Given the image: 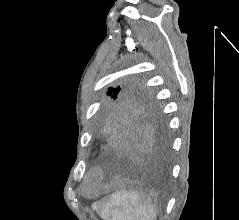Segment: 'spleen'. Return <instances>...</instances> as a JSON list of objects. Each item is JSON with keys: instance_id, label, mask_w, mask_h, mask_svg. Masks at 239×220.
Wrapping results in <instances>:
<instances>
[{"instance_id": "1", "label": "spleen", "mask_w": 239, "mask_h": 220, "mask_svg": "<svg viewBox=\"0 0 239 220\" xmlns=\"http://www.w3.org/2000/svg\"><path fill=\"white\" fill-rule=\"evenodd\" d=\"M104 220H156L155 205L135 191H117L95 205Z\"/></svg>"}]
</instances>
